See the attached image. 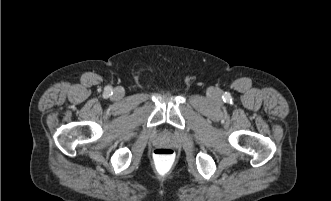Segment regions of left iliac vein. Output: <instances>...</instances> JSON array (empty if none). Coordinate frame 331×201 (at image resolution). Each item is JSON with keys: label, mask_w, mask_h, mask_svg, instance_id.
I'll list each match as a JSON object with an SVG mask.
<instances>
[{"label": "left iliac vein", "mask_w": 331, "mask_h": 201, "mask_svg": "<svg viewBox=\"0 0 331 201\" xmlns=\"http://www.w3.org/2000/svg\"><path fill=\"white\" fill-rule=\"evenodd\" d=\"M211 97H212L213 99H216V97H217L216 92H211Z\"/></svg>", "instance_id": "4c4485c4"}]
</instances>
